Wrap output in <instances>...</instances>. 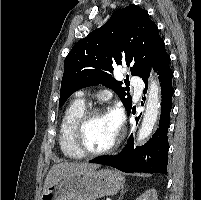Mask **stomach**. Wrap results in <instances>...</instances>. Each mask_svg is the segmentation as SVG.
<instances>
[{"mask_svg": "<svg viewBox=\"0 0 201 200\" xmlns=\"http://www.w3.org/2000/svg\"><path fill=\"white\" fill-rule=\"evenodd\" d=\"M123 183L122 175L111 169L78 172L49 186L40 200H96L116 194Z\"/></svg>", "mask_w": 201, "mask_h": 200, "instance_id": "0dacf381", "label": "stomach"}]
</instances>
